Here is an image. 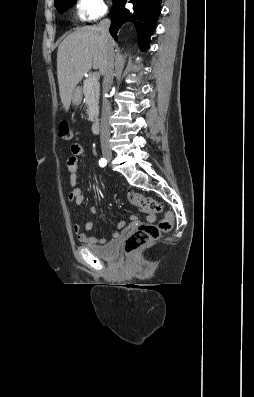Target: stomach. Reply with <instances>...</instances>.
<instances>
[{"label":"stomach","mask_w":254,"mask_h":397,"mask_svg":"<svg viewBox=\"0 0 254 397\" xmlns=\"http://www.w3.org/2000/svg\"><path fill=\"white\" fill-rule=\"evenodd\" d=\"M72 103L74 105H79L82 101V90L80 87H75L72 92Z\"/></svg>","instance_id":"stomach-1"}]
</instances>
